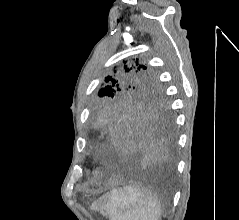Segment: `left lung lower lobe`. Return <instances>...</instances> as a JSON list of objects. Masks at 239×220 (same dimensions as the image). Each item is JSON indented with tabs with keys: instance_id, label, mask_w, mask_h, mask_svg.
Here are the masks:
<instances>
[{
	"instance_id": "obj_1",
	"label": "left lung lower lobe",
	"mask_w": 239,
	"mask_h": 220,
	"mask_svg": "<svg viewBox=\"0 0 239 220\" xmlns=\"http://www.w3.org/2000/svg\"><path fill=\"white\" fill-rule=\"evenodd\" d=\"M95 125L109 166L165 164L172 158L174 134L167 112L116 106L100 112Z\"/></svg>"
}]
</instances>
